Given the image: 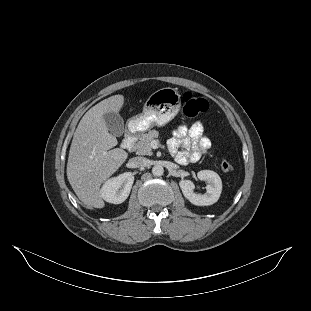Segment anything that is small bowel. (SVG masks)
Here are the masks:
<instances>
[{"mask_svg":"<svg viewBox=\"0 0 311 311\" xmlns=\"http://www.w3.org/2000/svg\"><path fill=\"white\" fill-rule=\"evenodd\" d=\"M170 153L182 165L199 161L210 149L211 141L204 135L201 122L180 126L168 142Z\"/></svg>","mask_w":311,"mask_h":311,"instance_id":"c3829d8e","label":"small bowel"}]
</instances>
